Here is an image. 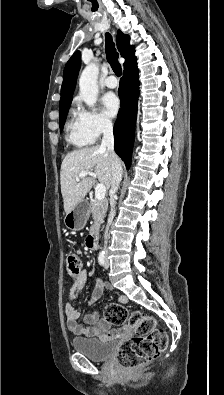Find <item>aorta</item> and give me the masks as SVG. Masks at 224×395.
<instances>
[{
  "label": "aorta",
  "mask_w": 224,
  "mask_h": 395,
  "mask_svg": "<svg viewBox=\"0 0 224 395\" xmlns=\"http://www.w3.org/2000/svg\"><path fill=\"white\" fill-rule=\"evenodd\" d=\"M98 74V66L91 63L84 68L79 79L80 96L91 108H94L98 97Z\"/></svg>",
  "instance_id": "aorta-1"
}]
</instances>
